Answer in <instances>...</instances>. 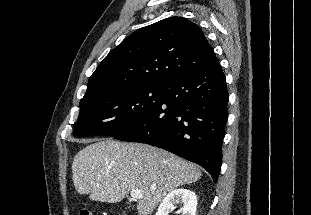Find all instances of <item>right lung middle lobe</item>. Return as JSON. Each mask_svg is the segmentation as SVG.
Returning a JSON list of instances; mask_svg holds the SVG:
<instances>
[{"label": "right lung middle lobe", "mask_w": 311, "mask_h": 215, "mask_svg": "<svg viewBox=\"0 0 311 215\" xmlns=\"http://www.w3.org/2000/svg\"><path fill=\"white\" fill-rule=\"evenodd\" d=\"M162 96L163 86H137L87 96L80 101L74 136H116L150 115Z\"/></svg>", "instance_id": "obj_1"}]
</instances>
